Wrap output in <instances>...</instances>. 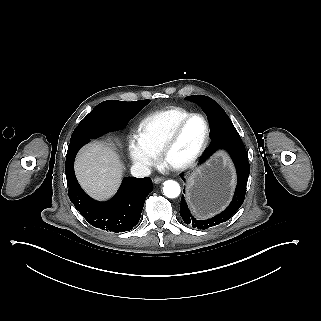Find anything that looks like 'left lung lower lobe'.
<instances>
[{"mask_svg":"<svg viewBox=\"0 0 321 321\" xmlns=\"http://www.w3.org/2000/svg\"><path fill=\"white\" fill-rule=\"evenodd\" d=\"M206 115L210 124V136L212 143L200 158V162H204L216 150L224 149L230 154L235 164L238 181L235 194L230 205L220 214L207 220H198L194 218L188 209L184 196L182 195L180 215L186 224L192 225V227H196L198 229H207L209 227L219 225L226 222L234 213H236L244 202L250 172L248 154L237 130L235 128L216 130L215 126L221 124L224 120L223 116L218 111L208 112ZM181 178L185 181L182 175Z\"/></svg>","mask_w":321,"mask_h":321,"instance_id":"left-lung-lower-lobe-1","label":"left lung lower lobe"}]
</instances>
